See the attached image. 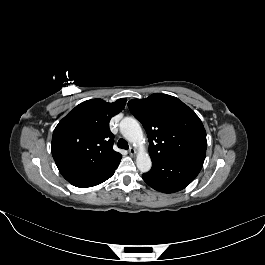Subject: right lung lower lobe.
<instances>
[{"label": "right lung lower lobe", "instance_id": "1", "mask_svg": "<svg viewBox=\"0 0 265 265\" xmlns=\"http://www.w3.org/2000/svg\"><path fill=\"white\" fill-rule=\"evenodd\" d=\"M121 159L108 166H84L61 170L63 177L72 185L80 188L92 187L109 179L119 165Z\"/></svg>", "mask_w": 265, "mask_h": 265}]
</instances>
